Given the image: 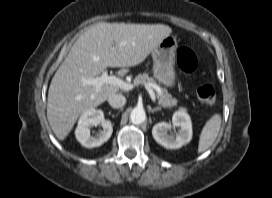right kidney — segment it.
Segmentation results:
<instances>
[{
  "mask_svg": "<svg viewBox=\"0 0 272 198\" xmlns=\"http://www.w3.org/2000/svg\"><path fill=\"white\" fill-rule=\"evenodd\" d=\"M101 125L103 130L94 136L90 135V127ZM113 126L111 121L104 118L102 110L90 109L85 111L75 130L76 139L86 148L101 146L112 135Z\"/></svg>",
  "mask_w": 272,
  "mask_h": 198,
  "instance_id": "obj_1",
  "label": "right kidney"
}]
</instances>
